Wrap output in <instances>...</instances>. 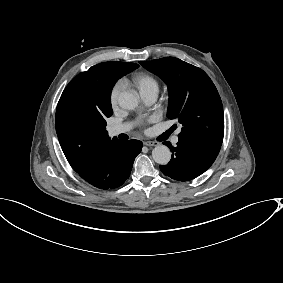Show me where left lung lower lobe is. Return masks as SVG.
<instances>
[{
    "instance_id": "1",
    "label": "left lung lower lobe",
    "mask_w": 283,
    "mask_h": 283,
    "mask_svg": "<svg viewBox=\"0 0 283 283\" xmlns=\"http://www.w3.org/2000/svg\"><path fill=\"white\" fill-rule=\"evenodd\" d=\"M173 151L170 162L160 166L162 173L178 181L192 180L204 173L215 161L220 148L179 138L176 147L165 142Z\"/></svg>"
}]
</instances>
